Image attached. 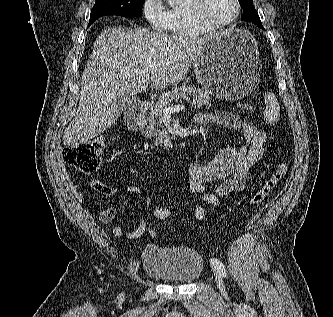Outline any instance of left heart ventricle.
Listing matches in <instances>:
<instances>
[{"label": "left heart ventricle", "mask_w": 333, "mask_h": 317, "mask_svg": "<svg viewBox=\"0 0 333 317\" xmlns=\"http://www.w3.org/2000/svg\"><path fill=\"white\" fill-rule=\"evenodd\" d=\"M235 12L233 0H204V17L214 24L229 20Z\"/></svg>", "instance_id": "left-heart-ventricle-1"}]
</instances>
